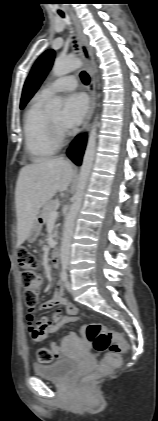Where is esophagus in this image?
Listing matches in <instances>:
<instances>
[{"instance_id":"obj_1","label":"esophagus","mask_w":158,"mask_h":421,"mask_svg":"<svg viewBox=\"0 0 158 421\" xmlns=\"http://www.w3.org/2000/svg\"><path fill=\"white\" fill-rule=\"evenodd\" d=\"M71 17L73 19V22L77 31L80 49H81L83 58L86 62L88 73L90 76V84L88 88L89 95H90V106H89V110L87 112V115L85 117V120L82 126V132H84L89 126L90 120L94 112L95 101H96L95 78H94V67H95L94 52H93L92 47L89 44L87 36L83 32V28L79 19L74 14H71Z\"/></svg>"}]
</instances>
